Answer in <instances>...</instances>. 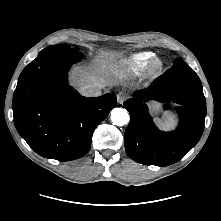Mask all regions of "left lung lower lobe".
Listing matches in <instances>:
<instances>
[{
  "mask_svg": "<svg viewBox=\"0 0 221 221\" xmlns=\"http://www.w3.org/2000/svg\"><path fill=\"white\" fill-rule=\"evenodd\" d=\"M173 101L180 116L175 131L162 132L153 123L146 101ZM130 113L125 131L129 157L145 165L168 166L180 160L199 141L206 116V100L197 74L187 65L170 68L146 90H139L124 102Z\"/></svg>",
  "mask_w": 221,
  "mask_h": 221,
  "instance_id": "obj_1",
  "label": "left lung lower lobe"
}]
</instances>
